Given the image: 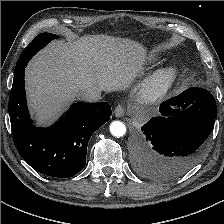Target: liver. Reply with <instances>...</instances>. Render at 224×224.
<instances>
[{"instance_id": "obj_1", "label": "liver", "mask_w": 224, "mask_h": 224, "mask_svg": "<svg viewBox=\"0 0 224 224\" xmlns=\"http://www.w3.org/2000/svg\"><path fill=\"white\" fill-rule=\"evenodd\" d=\"M145 56L139 43L105 35L51 42L26 67L32 115L39 124L49 123L85 89H125L143 70Z\"/></svg>"}]
</instances>
